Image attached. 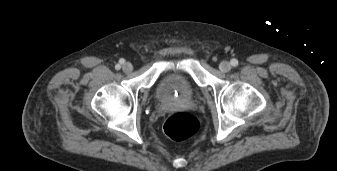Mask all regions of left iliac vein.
<instances>
[{"instance_id":"1","label":"left iliac vein","mask_w":337,"mask_h":171,"mask_svg":"<svg viewBox=\"0 0 337 171\" xmlns=\"http://www.w3.org/2000/svg\"><path fill=\"white\" fill-rule=\"evenodd\" d=\"M219 69L223 73L229 72L231 70V64L228 61H222L219 65Z\"/></svg>"}]
</instances>
